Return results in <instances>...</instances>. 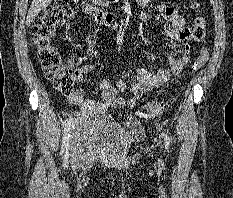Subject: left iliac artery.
<instances>
[{
	"instance_id": "left-iliac-artery-1",
	"label": "left iliac artery",
	"mask_w": 233,
	"mask_h": 198,
	"mask_svg": "<svg viewBox=\"0 0 233 198\" xmlns=\"http://www.w3.org/2000/svg\"><path fill=\"white\" fill-rule=\"evenodd\" d=\"M164 139H165V142H166V148L169 149V142H170V139L168 137L167 134L164 133Z\"/></svg>"
}]
</instances>
